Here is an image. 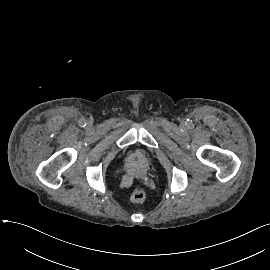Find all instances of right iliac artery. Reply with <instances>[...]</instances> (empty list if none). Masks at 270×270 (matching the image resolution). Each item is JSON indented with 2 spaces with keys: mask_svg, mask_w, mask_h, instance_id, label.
Instances as JSON below:
<instances>
[{
  "mask_svg": "<svg viewBox=\"0 0 270 270\" xmlns=\"http://www.w3.org/2000/svg\"><path fill=\"white\" fill-rule=\"evenodd\" d=\"M79 124H80V126L84 127L86 125V121L85 120H80Z\"/></svg>",
  "mask_w": 270,
  "mask_h": 270,
  "instance_id": "82829eb1",
  "label": "right iliac artery"
}]
</instances>
